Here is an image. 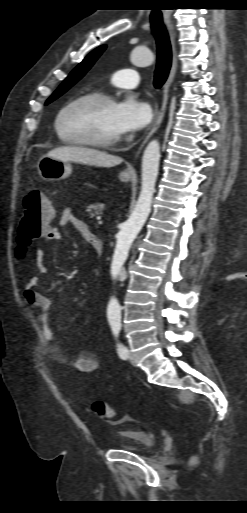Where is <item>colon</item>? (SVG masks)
<instances>
[{"instance_id":"obj_1","label":"colon","mask_w":247,"mask_h":513,"mask_svg":"<svg viewBox=\"0 0 247 513\" xmlns=\"http://www.w3.org/2000/svg\"><path fill=\"white\" fill-rule=\"evenodd\" d=\"M53 218V203L43 191L33 189L25 195L17 236V255L19 258L23 257L29 245L42 237L52 227ZM91 408L100 418H111L113 416V410L103 400H94Z\"/></svg>"}]
</instances>
